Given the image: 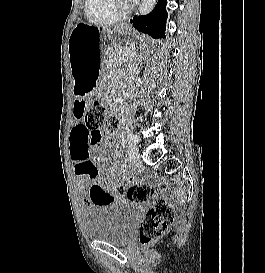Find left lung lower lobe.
<instances>
[{
    "label": "left lung lower lobe",
    "mask_w": 265,
    "mask_h": 273,
    "mask_svg": "<svg viewBox=\"0 0 265 273\" xmlns=\"http://www.w3.org/2000/svg\"><path fill=\"white\" fill-rule=\"evenodd\" d=\"M166 0H158L154 10L145 16L134 17L130 20L132 26L140 32L146 33L153 38L165 37L166 17L165 10Z\"/></svg>",
    "instance_id": "1"
}]
</instances>
